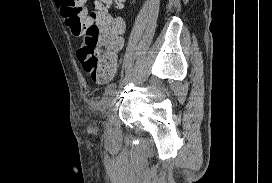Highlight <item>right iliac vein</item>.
<instances>
[{
    "mask_svg": "<svg viewBox=\"0 0 272 183\" xmlns=\"http://www.w3.org/2000/svg\"><path fill=\"white\" fill-rule=\"evenodd\" d=\"M114 94H115V92L113 91L112 93L105 95L103 97V99L101 100V105L103 108L110 106V104L113 102Z\"/></svg>",
    "mask_w": 272,
    "mask_h": 183,
    "instance_id": "right-iliac-vein-1",
    "label": "right iliac vein"
}]
</instances>
